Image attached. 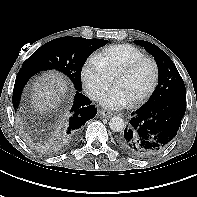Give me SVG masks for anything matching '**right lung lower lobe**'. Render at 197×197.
Returning <instances> with one entry per match:
<instances>
[{
	"instance_id": "right-lung-lower-lobe-1",
	"label": "right lung lower lobe",
	"mask_w": 197,
	"mask_h": 197,
	"mask_svg": "<svg viewBox=\"0 0 197 197\" xmlns=\"http://www.w3.org/2000/svg\"><path fill=\"white\" fill-rule=\"evenodd\" d=\"M38 73L35 70L28 68H21L17 74L14 90H13V105L18 108L21 93L27 81L34 74ZM90 101L86 96H84L81 91L76 90L75 99L70 107V110L59 123L56 131V137L59 141L64 143H70L77 137L80 128L91 118H94L97 110L94 105H91Z\"/></svg>"
}]
</instances>
